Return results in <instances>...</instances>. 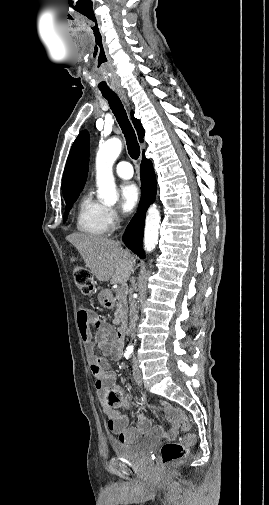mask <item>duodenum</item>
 Masks as SVG:
<instances>
[{
    "mask_svg": "<svg viewBox=\"0 0 269 505\" xmlns=\"http://www.w3.org/2000/svg\"><path fill=\"white\" fill-rule=\"evenodd\" d=\"M102 301L104 303V305H106L107 307H110L112 305V301H111V298L110 296L107 294V293H104L102 295ZM125 334H126V326L125 324H121L116 332H115V339H116V342L117 344L122 348L123 345H124V341H125Z\"/></svg>",
    "mask_w": 269,
    "mask_h": 505,
    "instance_id": "1",
    "label": "duodenum"
}]
</instances>
